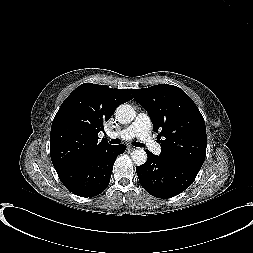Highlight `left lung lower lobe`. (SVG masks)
<instances>
[{"label":"left lung lower lobe","mask_w":253,"mask_h":253,"mask_svg":"<svg viewBox=\"0 0 253 253\" xmlns=\"http://www.w3.org/2000/svg\"><path fill=\"white\" fill-rule=\"evenodd\" d=\"M147 161L136 167L141 186L157 198H171L186 190L198 172L146 151Z\"/></svg>","instance_id":"obj_1"}]
</instances>
